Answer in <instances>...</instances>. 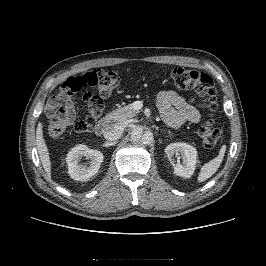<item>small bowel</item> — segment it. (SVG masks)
<instances>
[{
    "mask_svg": "<svg viewBox=\"0 0 266 266\" xmlns=\"http://www.w3.org/2000/svg\"><path fill=\"white\" fill-rule=\"evenodd\" d=\"M159 112L164 123L179 128L184 122L197 123L200 120L199 104L194 98H185L174 91H163L157 98ZM58 116L70 124L75 116V103L71 93L61 99Z\"/></svg>",
    "mask_w": 266,
    "mask_h": 266,
    "instance_id": "small-bowel-1",
    "label": "small bowel"
}]
</instances>
